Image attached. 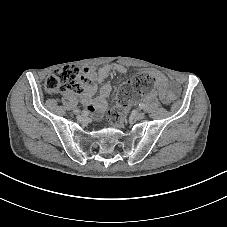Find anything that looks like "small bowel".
Listing matches in <instances>:
<instances>
[{"label": "small bowel", "mask_w": 227, "mask_h": 227, "mask_svg": "<svg viewBox=\"0 0 227 227\" xmlns=\"http://www.w3.org/2000/svg\"><path fill=\"white\" fill-rule=\"evenodd\" d=\"M127 70L124 65L118 63L105 64L98 68L86 66L82 69L83 91L80 96L89 112L100 115L106 110L107 98L112 92V86L105 82L109 73L111 71L126 73ZM148 74L153 78L155 87V90L147 95L148 98H154L158 94L163 103L169 104L179 96L180 87L176 82L169 81L164 74L155 70L149 71ZM97 84L101 85L100 94L94 97Z\"/></svg>", "instance_id": "1"}]
</instances>
